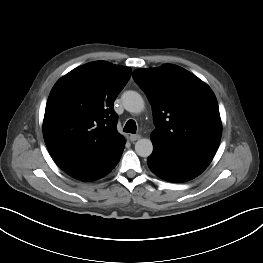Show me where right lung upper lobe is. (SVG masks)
I'll return each mask as SVG.
<instances>
[{
    "instance_id": "right-lung-upper-lobe-1",
    "label": "right lung upper lobe",
    "mask_w": 263,
    "mask_h": 263,
    "mask_svg": "<svg viewBox=\"0 0 263 263\" xmlns=\"http://www.w3.org/2000/svg\"><path fill=\"white\" fill-rule=\"evenodd\" d=\"M130 77L128 67L96 61L70 71L55 84L46 104L43 134L63 171L100 164L125 145L113 104Z\"/></svg>"
}]
</instances>
